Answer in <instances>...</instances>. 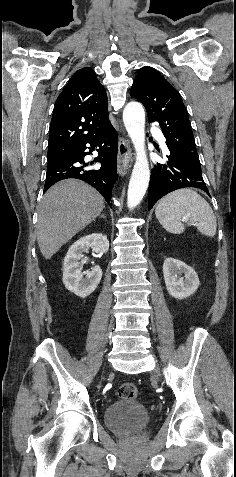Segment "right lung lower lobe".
<instances>
[{"label": "right lung lower lobe", "mask_w": 236, "mask_h": 477, "mask_svg": "<svg viewBox=\"0 0 236 477\" xmlns=\"http://www.w3.org/2000/svg\"><path fill=\"white\" fill-rule=\"evenodd\" d=\"M94 150H97L99 154L94 161L100 162L101 167L90 169L88 163H85L84 157ZM117 150V133L109 123L83 141L67 157L54 163H48L44 192L60 180L76 178L96 188L110 205L112 188L117 180Z\"/></svg>", "instance_id": "right-lung-lower-lobe-1"}]
</instances>
